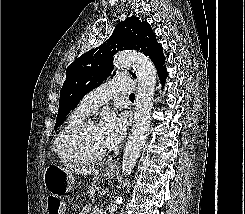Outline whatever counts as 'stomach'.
<instances>
[{
    "instance_id": "0dacf381",
    "label": "stomach",
    "mask_w": 245,
    "mask_h": 214,
    "mask_svg": "<svg viewBox=\"0 0 245 214\" xmlns=\"http://www.w3.org/2000/svg\"><path fill=\"white\" fill-rule=\"evenodd\" d=\"M114 175L115 170L106 169L104 171L106 179H111ZM43 180L46 190L55 196L71 191L75 184V177L72 171L54 164L45 169Z\"/></svg>"
}]
</instances>
